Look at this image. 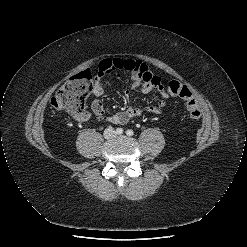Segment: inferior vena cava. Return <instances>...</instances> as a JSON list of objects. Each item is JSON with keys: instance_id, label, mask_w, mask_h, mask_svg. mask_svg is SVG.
Returning a JSON list of instances; mask_svg holds the SVG:
<instances>
[{"instance_id": "602c4592", "label": "inferior vena cava", "mask_w": 247, "mask_h": 247, "mask_svg": "<svg viewBox=\"0 0 247 247\" xmlns=\"http://www.w3.org/2000/svg\"><path fill=\"white\" fill-rule=\"evenodd\" d=\"M104 136H105L106 138L114 137V136H115V131L113 130V128L109 127V128H107V129L104 131Z\"/></svg>"}]
</instances>
